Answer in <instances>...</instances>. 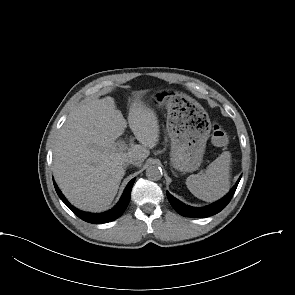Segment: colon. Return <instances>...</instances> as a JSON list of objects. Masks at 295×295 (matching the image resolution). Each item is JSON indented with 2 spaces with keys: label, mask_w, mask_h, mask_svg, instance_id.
Masks as SVG:
<instances>
[{
  "label": "colon",
  "mask_w": 295,
  "mask_h": 295,
  "mask_svg": "<svg viewBox=\"0 0 295 295\" xmlns=\"http://www.w3.org/2000/svg\"><path fill=\"white\" fill-rule=\"evenodd\" d=\"M213 143L217 146H224L228 142L227 132L219 125H215L212 131Z\"/></svg>",
  "instance_id": "1"
}]
</instances>
